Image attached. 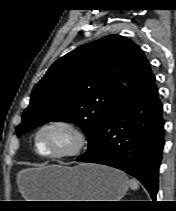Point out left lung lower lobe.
I'll use <instances>...</instances> for the list:
<instances>
[{
    "label": "left lung lower lobe",
    "mask_w": 176,
    "mask_h": 211,
    "mask_svg": "<svg viewBox=\"0 0 176 211\" xmlns=\"http://www.w3.org/2000/svg\"><path fill=\"white\" fill-rule=\"evenodd\" d=\"M163 145L162 104L153 84L111 114L93 146L77 161L121 169L137 178L155 200Z\"/></svg>",
    "instance_id": "1"
}]
</instances>
